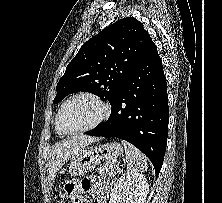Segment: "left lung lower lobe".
<instances>
[{
  "mask_svg": "<svg viewBox=\"0 0 222 203\" xmlns=\"http://www.w3.org/2000/svg\"><path fill=\"white\" fill-rule=\"evenodd\" d=\"M110 104L109 119L85 134L128 141L150 159L158 176L166 149L169 108L166 77L152 39Z\"/></svg>",
  "mask_w": 222,
  "mask_h": 203,
  "instance_id": "1",
  "label": "left lung lower lobe"
}]
</instances>
